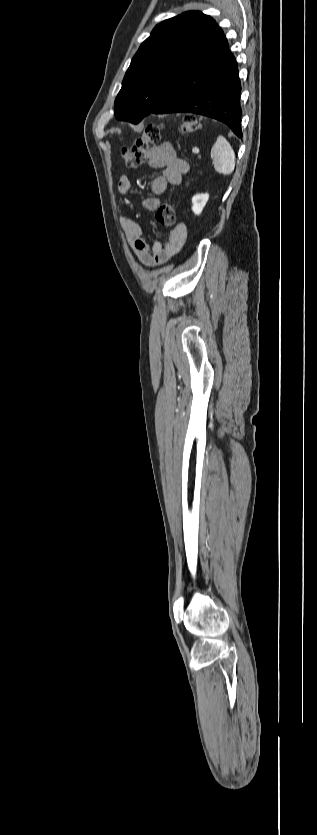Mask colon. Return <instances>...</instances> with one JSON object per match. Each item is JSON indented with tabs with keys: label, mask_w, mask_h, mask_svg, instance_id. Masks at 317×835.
<instances>
[{
	"label": "colon",
	"mask_w": 317,
	"mask_h": 835,
	"mask_svg": "<svg viewBox=\"0 0 317 835\" xmlns=\"http://www.w3.org/2000/svg\"><path fill=\"white\" fill-rule=\"evenodd\" d=\"M200 125L196 118L188 115L183 118L181 132L186 135L195 134L199 131ZM162 127L157 124L148 125L135 143L124 147L122 156L127 166L136 168L144 164L150 146L155 145L161 139ZM157 223L164 228L172 227L175 223V210L170 200L164 201L157 209L155 215Z\"/></svg>",
	"instance_id": "5ec220e1"
}]
</instances>
